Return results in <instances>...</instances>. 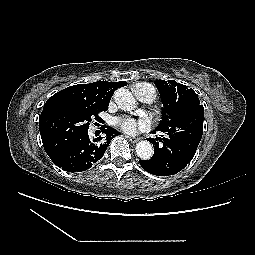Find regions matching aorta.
<instances>
[{
    "label": "aorta",
    "instance_id": "762f6f07",
    "mask_svg": "<svg viewBox=\"0 0 255 255\" xmlns=\"http://www.w3.org/2000/svg\"><path fill=\"white\" fill-rule=\"evenodd\" d=\"M114 99L119 108L125 111H131L136 106L132 93L125 88H118L114 93ZM135 149L138 157L143 160H149L154 154L153 147L148 141L138 142Z\"/></svg>",
    "mask_w": 255,
    "mask_h": 255
}]
</instances>
